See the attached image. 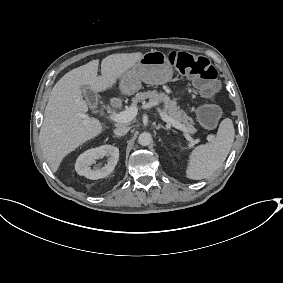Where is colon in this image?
<instances>
[{"label": "colon", "mask_w": 283, "mask_h": 283, "mask_svg": "<svg viewBox=\"0 0 283 283\" xmlns=\"http://www.w3.org/2000/svg\"><path fill=\"white\" fill-rule=\"evenodd\" d=\"M169 60L180 73L194 80L204 96L211 97L217 92V71L208 59L183 51H174L169 55ZM219 116L220 110L215 104H203L197 111L200 124L208 129L216 125Z\"/></svg>", "instance_id": "1"}]
</instances>
